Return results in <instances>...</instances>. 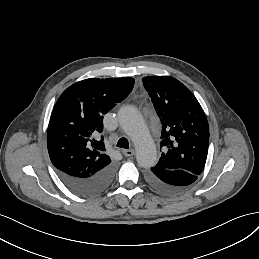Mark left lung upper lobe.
I'll list each match as a JSON object with an SVG mask.
<instances>
[{
	"label": "left lung upper lobe",
	"instance_id": "5c2ea615",
	"mask_svg": "<svg viewBox=\"0 0 259 259\" xmlns=\"http://www.w3.org/2000/svg\"><path fill=\"white\" fill-rule=\"evenodd\" d=\"M142 81L162 124L160 147L165 150L152 169L200 175L207 159L209 125L198 100L173 77L150 76Z\"/></svg>",
	"mask_w": 259,
	"mask_h": 259
}]
</instances>
